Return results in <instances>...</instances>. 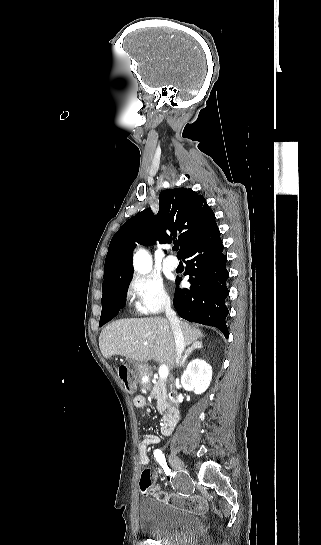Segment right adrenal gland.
<instances>
[{"label":"right adrenal gland","instance_id":"obj_1","mask_svg":"<svg viewBox=\"0 0 321 545\" xmlns=\"http://www.w3.org/2000/svg\"><path fill=\"white\" fill-rule=\"evenodd\" d=\"M196 349H203V345L201 343V341H193L191 347H189V349H187L179 367H185V363H186V359L187 357H190L191 353H193V351H196Z\"/></svg>","mask_w":321,"mask_h":545}]
</instances>
